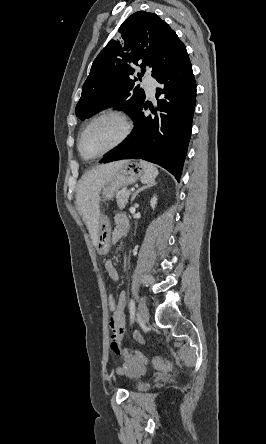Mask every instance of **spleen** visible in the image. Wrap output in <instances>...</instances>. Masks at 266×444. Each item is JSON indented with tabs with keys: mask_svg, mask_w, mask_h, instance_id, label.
Segmentation results:
<instances>
[{
	"mask_svg": "<svg viewBox=\"0 0 266 444\" xmlns=\"http://www.w3.org/2000/svg\"><path fill=\"white\" fill-rule=\"evenodd\" d=\"M141 167L144 169V176L142 178L143 182H151L158 175V169L151 163L146 161H140Z\"/></svg>",
	"mask_w": 266,
	"mask_h": 444,
	"instance_id": "spleen-1",
	"label": "spleen"
}]
</instances>
